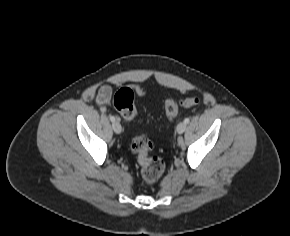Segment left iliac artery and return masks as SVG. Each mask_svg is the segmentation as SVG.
I'll return each mask as SVG.
<instances>
[{"label":"left iliac artery","mask_w":290,"mask_h":236,"mask_svg":"<svg viewBox=\"0 0 290 236\" xmlns=\"http://www.w3.org/2000/svg\"><path fill=\"white\" fill-rule=\"evenodd\" d=\"M190 122L189 118H185L184 123L188 124Z\"/></svg>","instance_id":"left-iliac-artery-1"}]
</instances>
